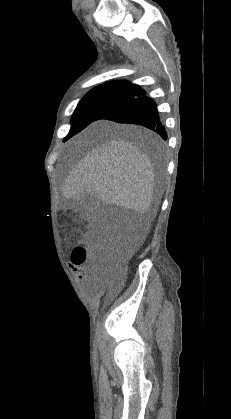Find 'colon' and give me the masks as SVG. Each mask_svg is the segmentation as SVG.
<instances>
[{
  "instance_id": "obj_1",
  "label": "colon",
  "mask_w": 231,
  "mask_h": 419,
  "mask_svg": "<svg viewBox=\"0 0 231 419\" xmlns=\"http://www.w3.org/2000/svg\"><path fill=\"white\" fill-rule=\"evenodd\" d=\"M93 252H91V257L93 256ZM88 256L87 250L82 247L78 246L74 248L72 252V263L75 265H79L83 263ZM124 271V258L118 255H110L108 269L105 273L107 278H118L122 275Z\"/></svg>"
}]
</instances>
